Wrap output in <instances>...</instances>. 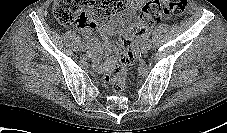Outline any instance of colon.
Instances as JSON below:
<instances>
[{
  "instance_id": "colon-1",
  "label": "colon",
  "mask_w": 227,
  "mask_h": 133,
  "mask_svg": "<svg viewBox=\"0 0 227 133\" xmlns=\"http://www.w3.org/2000/svg\"><path fill=\"white\" fill-rule=\"evenodd\" d=\"M128 4V0H55L52 11L57 22L63 26L77 23L93 26L104 22L114 12ZM187 0H147L142 6L138 22L131 32L115 42L119 64L107 70L100 83L108 90L121 91L126 84L127 67L135 60V41L162 16H179L187 9Z\"/></svg>"
}]
</instances>
